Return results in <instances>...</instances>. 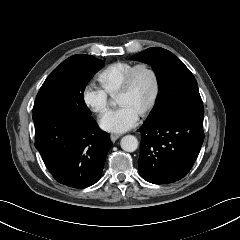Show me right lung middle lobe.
Listing matches in <instances>:
<instances>
[{
    "mask_svg": "<svg viewBox=\"0 0 240 240\" xmlns=\"http://www.w3.org/2000/svg\"><path fill=\"white\" fill-rule=\"evenodd\" d=\"M104 61L88 55L68 58L47 77L33 107L38 112H58L78 117H91L84 101V90Z\"/></svg>",
    "mask_w": 240,
    "mask_h": 240,
    "instance_id": "dd1d6c3e",
    "label": "right lung middle lobe"
}]
</instances>
